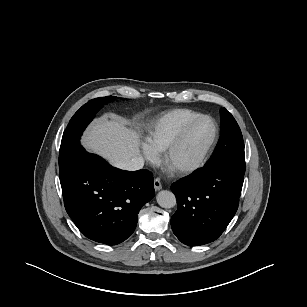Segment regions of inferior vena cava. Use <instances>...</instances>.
Instances as JSON below:
<instances>
[{"label": "inferior vena cava", "mask_w": 307, "mask_h": 307, "mask_svg": "<svg viewBox=\"0 0 307 307\" xmlns=\"http://www.w3.org/2000/svg\"><path fill=\"white\" fill-rule=\"evenodd\" d=\"M115 166L123 170L135 171L143 168L144 159L141 156H135L130 159L119 161Z\"/></svg>", "instance_id": "inferior-vena-cava-1"}]
</instances>
